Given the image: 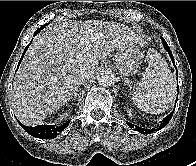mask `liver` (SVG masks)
<instances>
[{
  "label": "liver",
  "mask_w": 196,
  "mask_h": 166,
  "mask_svg": "<svg viewBox=\"0 0 196 166\" xmlns=\"http://www.w3.org/2000/svg\"><path fill=\"white\" fill-rule=\"evenodd\" d=\"M142 45L127 25L99 21L55 22L34 37L16 73L12 107L31 126L59 110L76 88L78 72L91 77L98 61L124 45Z\"/></svg>",
  "instance_id": "obj_1"
}]
</instances>
